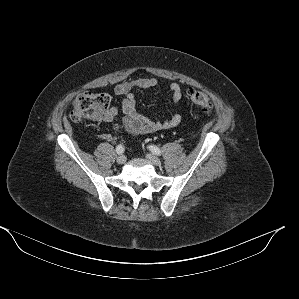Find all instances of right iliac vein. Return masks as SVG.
<instances>
[{
	"instance_id": "right-iliac-vein-1",
	"label": "right iliac vein",
	"mask_w": 299,
	"mask_h": 299,
	"mask_svg": "<svg viewBox=\"0 0 299 299\" xmlns=\"http://www.w3.org/2000/svg\"><path fill=\"white\" fill-rule=\"evenodd\" d=\"M126 162V157L124 155H120L118 158H117V163L118 164H124Z\"/></svg>"
}]
</instances>
